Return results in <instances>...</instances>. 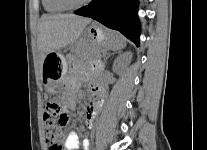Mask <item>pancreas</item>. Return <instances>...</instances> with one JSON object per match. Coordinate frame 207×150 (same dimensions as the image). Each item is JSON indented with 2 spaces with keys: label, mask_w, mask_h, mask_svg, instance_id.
Listing matches in <instances>:
<instances>
[{
  "label": "pancreas",
  "mask_w": 207,
  "mask_h": 150,
  "mask_svg": "<svg viewBox=\"0 0 207 150\" xmlns=\"http://www.w3.org/2000/svg\"><path fill=\"white\" fill-rule=\"evenodd\" d=\"M100 49L96 47L89 48L88 50L84 51L83 57L88 58L90 60H96L95 55L99 54Z\"/></svg>",
  "instance_id": "cf45deb5"
}]
</instances>
